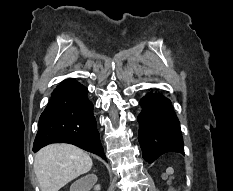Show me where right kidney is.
Segmentation results:
<instances>
[{"instance_id":"obj_1","label":"right kidney","mask_w":233,"mask_h":191,"mask_svg":"<svg viewBox=\"0 0 233 191\" xmlns=\"http://www.w3.org/2000/svg\"><path fill=\"white\" fill-rule=\"evenodd\" d=\"M97 182V176L95 174H88L78 180H76L70 187V191H90L91 188L100 190V185H95Z\"/></svg>"}]
</instances>
